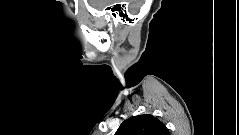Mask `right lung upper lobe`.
Returning <instances> with one entry per match:
<instances>
[{"label": "right lung upper lobe", "mask_w": 239, "mask_h": 135, "mask_svg": "<svg viewBox=\"0 0 239 135\" xmlns=\"http://www.w3.org/2000/svg\"><path fill=\"white\" fill-rule=\"evenodd\" d=\"M115 135H170L166 126L156 117L145 114L125 120Z\"/></svg>", "instance_id": "cb5924a9"}]
</instances>
